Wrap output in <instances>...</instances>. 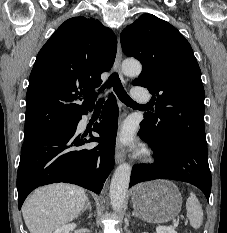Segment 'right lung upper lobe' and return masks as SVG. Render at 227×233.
<instances>
[{"label":"right lung upper lobe","mask_w":227,"mask_h":233,"mask_svg":"<svg viewBox=\"0 0 227 233\" xmlns=\"http://www.w3.org/2000/svg\"><path fill=\"white\" fill-rule=\"evenodd\" d=\"M113 31L94 18L65 21L39 51L29 77L24 137L59 127L93 109L100 75L112 67Z\"/></svg>","instance_id":"obj_1"}]
</instances>
